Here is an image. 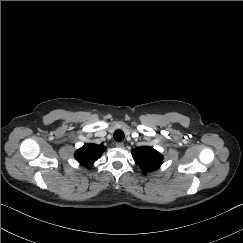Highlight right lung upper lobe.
Here are the masks:
<instances>
[{"label": "right lung upper lobe", "mask_w": 243, "mask_h": 243, "mask_svg": "<svg viewBox=\"0 0 243 243\" xmlns=\"http://www.w3.org/2000/svg\"><path fill=\"white\" fill-rule=\"evenodd\" d=\"M106 150L105 146L97 144H85L75 153V158L81 165L87 167L89 164L98 160Z\"/></svg>", "instance_id": "1"}]
</instances>
